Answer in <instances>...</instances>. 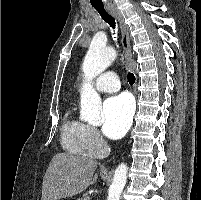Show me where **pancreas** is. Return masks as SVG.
<instances>
[{
	"mask_svg": "<svg viewBox=\"0 0 201 200\" xmlns=\"http://www.w3.org/2000/svg\"><path fill=\"white\" fill-rule=\"evenodd\" d=\"M77 200H89V197H88V196H86V195H84L83 197L78 198Z\"/></svg>",
	"mask_w": 201,
	"mask_h": 200,
	"instance_id": "1",
	"label": "pancreas"
}]
</instances>
